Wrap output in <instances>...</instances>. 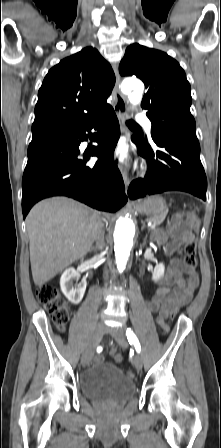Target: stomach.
<instances>
[{"label": "stomach", "instance_id": "obj_1", "mask_svg": "<svg viewBox=\"0 0 221 448\" xmlns=\"http://www.w3.org/2000/svg\"><path fill=\"white\" fill-rule=\"evenodd\" d=\"M133 208L150 217L167 213L165 200L160 196H150L133 204Z\"/></svg>", "mask_w": 221, "mask_h": 448}]
</instances>
